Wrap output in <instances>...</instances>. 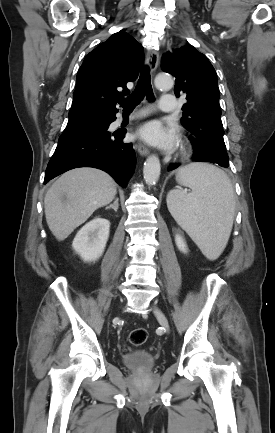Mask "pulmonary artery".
Here are the masks:
<instances>
[{"label": "pulmonary artery", "mask_w": 275, "mask_h": 433, "mask_svg": "<svg viewBox=\"0 0 275 433\" xmlns=\"http://www.w3.org/2000/svg\"><path fill=\"white\" fill-rule=\"evenodd\" d=\"M160 110L164 113H172L176 107V99L172 94H163L159 104Z\"/></svg>", "instance_id": "e3ab8cb5"}]
</instances>
